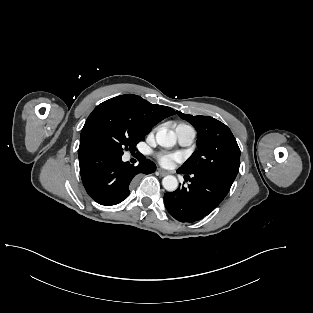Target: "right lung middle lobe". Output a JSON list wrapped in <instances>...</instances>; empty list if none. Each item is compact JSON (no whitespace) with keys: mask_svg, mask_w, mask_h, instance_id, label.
<instances>
[{"mask_svg":"<svg viewBox=\"0 0 313 313\" xmlns=\"http://www.w3.org/2000/svg\"><path fill=\"white\" fill-rule=\"evenodd\" d=\"M148 133L128 112L110 105L94 123L92 139L95 149L123 154L124 150L135 149V145Z\"/></svg>","mask_w":313,"mask_h":313,"instance_id":"dd1d6c3e","label":"right lung middle lobe"}]
</instances>
